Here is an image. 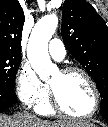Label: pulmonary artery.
Segmentation results:
<instances>
[{"instance_id": "obj_1", "label": "pulmonary artery", "mask_w": 108, "mask_h": 127, "mask_svg": "<svg viewBox=\"0 0 108 127\" xmlns=\"http://www.w3.org/2000/svg\"><path fill=\"white\" fill-rule=\"evenodd\" d=\"M49 54L57 61H62L66 55L65 46L62 41L54 38L50 41L48 46Z\"/></svg>"}]
</instances>
